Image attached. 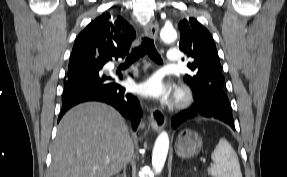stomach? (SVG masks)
Listing matches in <instances>:
<instances>
[{
  "label": "stomach",
  "mask_w": 287,
  "mask_h": 177,
  "mask_svg": "<svg viewBox=\"0 0 287 177\" xmlns=\"http://www.w3.org/2000/svg\"><path fill=\"white\" fill-rule=\"evenodd\" d=\"M201 148L202 138L197 132L190 129H184L178 134L175 150L180 158H192L198 154Z\"/></svg>",
  "instance_id": "1"
}]
</instances>
